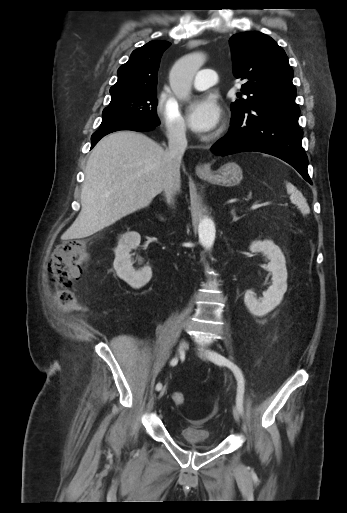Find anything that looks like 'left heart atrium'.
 I'll return each instance as SVG.
<instances>
[{"label":"left heart atrium","instance_id":"obj_1","mask_svg":"<svg viewBox=\"0 0 347 513\" xmlns=\"http://www.w3.org/2000/svg\"><path fill=\"white\" fill-rule=\"evenodd\" d=\"M190 128L202 134L212 132L220 123L221 109L217 100L205 95L192 102L187 111Z\"/></svg>","mask_w":347,"mask_h":513}]
</instances>
